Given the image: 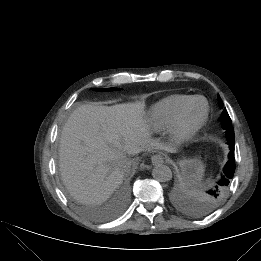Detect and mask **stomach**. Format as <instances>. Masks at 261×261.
<instances>
[{
  "label": "stomach",
  "mask_w": 261,
  "mask_h": 261,
  "mask_svg": "<svg viewBox=\"0 0 261 261\" xmlns=\"http://www.w3.org/2000/svg\"><path fill=\"white\" fill-rule=\"evenodd\" d=\"M177 164L181 180L185 185H195L203 177L204 165L201 160L197 158L182 159Z\"/></svg>",
  "instance_id": "0dacf381"
}]
</instances>
